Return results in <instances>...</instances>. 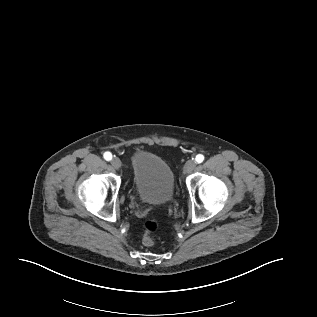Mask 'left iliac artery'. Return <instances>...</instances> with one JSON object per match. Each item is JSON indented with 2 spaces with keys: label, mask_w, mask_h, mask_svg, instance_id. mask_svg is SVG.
<instances>
[{
  "label": "left iliac artery",
  "mask_w": 317,
  "mask_h": 317,
  "mask_svg": "<svg viewBox=\"0 0 317 317\" xmlns=\"http://www.w3.org/2000/svg\"><path fill=\"white\" fill-rule=\"evenodd\" d=\"M195 160L197 163H201L204 160V156L202 154H199L196 156Z\"/></svg>",
  "instance_id": "obj_1"
}]
</instances>
